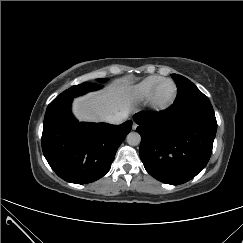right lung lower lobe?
I'll return each instance as SVG.
<instances>
[{"mask_svg":"<svg viewBox=\"0 0 243 243\" xmlns=\"http://www.w3.org/2000/svg\"><path fill=\"white\" fill-rule=\"evenodd\" d=\"M84 82L65 90L47 107L42 133L43 154L63 180L76 184L94 182L111 167L116 151L132 128L121 125L78 122L71 114L73 97L102 88Z\"/></svg>","mask_w":243,"mask_h":243,"instance_id":"1","label":"right lung lower lobe"}]
</instances>
